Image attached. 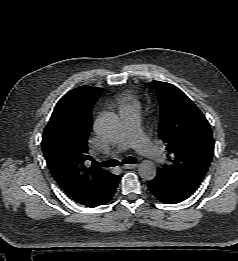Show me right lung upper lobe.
I'll list each match as a JSON object with an SVG mask.
<instances>
[{"instance_id": "right-lung-upper-lobe-1", "label": "right lung upper lobe", "mask_w": 238, "mask_h": 261, "mask_svg": "<svg viewBox=\"0 0 238 261\" xmlns=\"http://www.w3.org/2000/svg\"><path fill=\"white\" fill-rule=\"evenodd\" d=\"M102 88L81 86L57 103L44 129L42 150L47 166L63 191L81 203L95 194L110 173L87 167L88 138L92 130V108Z\"/></svg>"}]
</instances>
